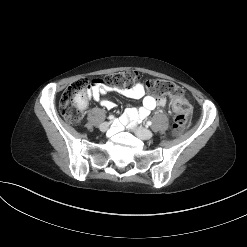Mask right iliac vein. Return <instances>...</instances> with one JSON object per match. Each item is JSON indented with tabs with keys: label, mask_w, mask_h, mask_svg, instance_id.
Listing matches in <instances>:
<instances>
[{
	"label": "right iliac vein",
	"mask_w": 247,
	"mask_h": 247,
	"mask_svg": "<svg viewBox=\"0 0 247 247\" xmlns=\"http://www.w3.org/2000/svg\"><path fill=\"white\" fill-rule=\"evenodd\" d=\"M110 127V123L109 122H104L102 123L99 128L102 132H105L108 130V128Z\"/></svg>",
	"instance_id": "right-iliac-vein-1"
}]
</instances>
